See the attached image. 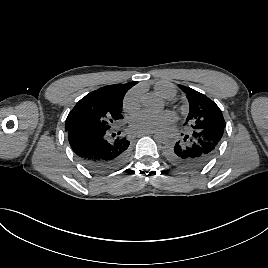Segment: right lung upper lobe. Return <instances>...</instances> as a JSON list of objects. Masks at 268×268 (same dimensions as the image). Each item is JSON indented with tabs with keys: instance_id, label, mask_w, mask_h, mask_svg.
<instances>
[{
	"instance_id": "cb5924a9",
	"label": "right lung upper lobe",
	"mask_w": 268,
	"mask_h": 268,
	"mask_svg": "<svg viewBox=\"0 0 268 268\" xmlns=\"http://www.w3.org/2000/svg\"><path fill=\"white\" fill-rule=\"evenodd\" d=\"M138 82H129L126 84H115V85H108L98 90L91 92L90 94L98 95L106 100H113V101H122L126 94V92L136 85Z\"/></svg>"
}]
</instances>
